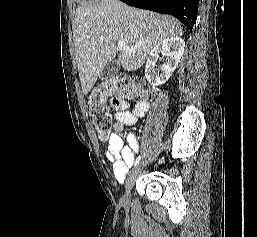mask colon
Listing matches in <instances>:
<instances>
[{
  "label": "colon",
  "mask_w": 257,
  "mask_h": 237,
  "mask_svg": "<svg viewBox=\"0 0 257 237\" xmlns=\"http://www.w3.org/2000/svg\"><path fill=\"white\" fill-rule=\"evenodd\" d=\"M142 95L144 91L141 85L126 77L106 79L93 89L88 99V106L91 119L101 139L106 140L111 133L113 115L109 102L114 107V104Z\"/></svg>",
  "instance_id": "5ec220e1"
}]
</instances>
